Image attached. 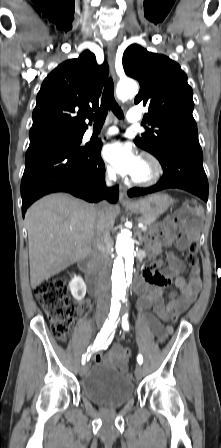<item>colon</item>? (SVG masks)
Masks as SVG:
<instances>
[{
	"instance_id": "colon-1",
	"label": "colon",
	"mask_w": 221,
	"mask_h": 448,
	"mask_svg": "<svg viewBox=\"0 0 221 448\" xmlns=\"http://www.w3.org/2000/svg\"><path fill=\"white\" fill-rule=\"evenodd\" d=\"M201 208L194 200H187L185 210L174 217L177 224L198 226ZM188 265L194 267L199 263L197 243L192 241L188 245L186 256ZM37 301L41 304L51 323L53 333L58 340L64 341L74 315V306L67 296L65 282L62 278H49L42 281L34 290ZM177 320V317H174Z\"/></svg>"
}]
</instances>
